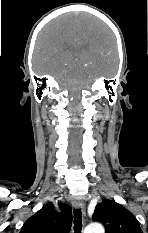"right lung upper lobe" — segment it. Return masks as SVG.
Returning a JSON list of instances; mask_svg holds the SVG:
<instances>
[{"label":"right lung upper lobe","instance_id":"1","mask_svg":"<svg viewBox=\"0 0 148 233\" xmlns=\"http://www.w3.org/2000/svg\"><path fill=\"white\" fill-rule=\"evenodd\" d=\"M58 213L52 203L31 216L23 225L20 233H69L72 224V209L65 203H59Z\"/></svg>","mask_w":148,"mask_h":233}]
</instances>
